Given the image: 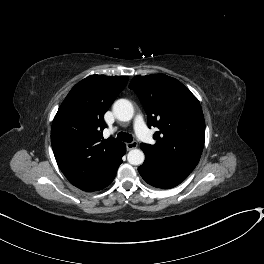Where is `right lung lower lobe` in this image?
<instances>
[{"mask_svg": "<svg viewBox=\"0 0 264 264\" xmlns=\"http://www.w3.org/2000/svg\"><path fill=\"white\" fill-rule=\"evenodd\" d=\"M124 152H126V146L124 148ZM115 175H116V173L104 185H102L101 187H99L98 189H96L94 191L101 190V189L107 187L113 181Z\"/></svg>", "mask_w": 264, "mask_h": 264, "instance_id": "obj_1", "label": "right lung lower lobe"}]
</instances>
